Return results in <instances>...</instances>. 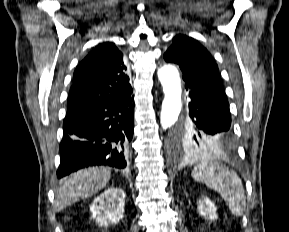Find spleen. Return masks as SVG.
<instances>
[{
    "instance_id": "spleen-1",
    "label": "spleen",
    "mask_w": 289,
    "mask_h": 232,
    "mask_svg": "<svg viewBox=\"0 0 289 232\" xmlns=\"http://www.w3.org/2000/svg\"><path fill=\"white\" fill-rule=\"evenodd\" d=\"M192 177L218 192L237 217L245 210L243 184L238 174L218 161H201L192 171Z\"/></svg>"
}]
</instances>
